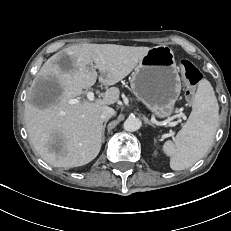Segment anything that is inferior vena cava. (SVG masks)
<instances>
[{
	"label": "inferior vena cava",
	"instance_id": "1",
	"mask_svg": "<svg viewBox=\"0 0 231 231\" xmlns=\"http://www.w3.org/2000/svg\"><path fill=\"white\" fill-rule=\"evenodd\" d=\"M114 115H115V110L113 108L106 106L102 109L101 118L103 121L109 120Z\"/></svg>",
	"mask_w": 231,
	"mask_h": 231
}]
</instances>
